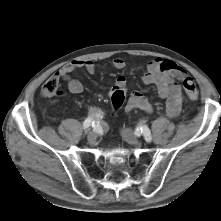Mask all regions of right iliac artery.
<instances>
[{
	"label": "right iliac artery",
	"instance_id": "82829eb1",
	"mask_svg": "<svg viewBox=\"0 0 221 221\" xmlns=\"http://www.w3.org/2000/svg\"><path fill=\"white\" fill-rule=\"evenodd\" d=\"M97 121L93 117H88L84 122H83V127L84 129H88L91 126H95Z\"/></svg>",
	"mask_w": 221,
	"mask_h": 221
}]
</instances>
